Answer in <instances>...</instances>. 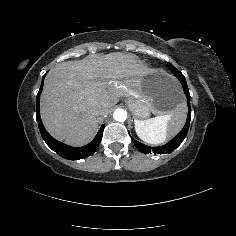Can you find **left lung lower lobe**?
Masks as SVG:
<instances>
[{
  "mask_svg": "<svg viewBox=\"0 0 236 236\" xmlns=\"http://www.w3.org/2000/svg\"><path fill=\"white\" fill-rule=\"evenodd\" d=\"M168 68L171 72L174 73V75L181 82L184 93L187 97V103H188L187 121H186L183 129L179 132V134L163 146L152 148L150 146H147V145H144V144L138 142L135 139H132L134 145L138 148V150H140L141 152H143L145 154H149V153L150 154L151 153H154V154H167V153L173 152L183 142V140L185 139V137L187 135L188 129H189L190 120H191V108H190V93H189V90H188L187 82H186L184 76L182 75V73L177 68H175L171 63H168Z\"/></svg>",
  "mask_w": 236,
  "mask_h": 236,
  "instance_id": "1",
  "label": "left lung lower lobe"
}]
</instances>
